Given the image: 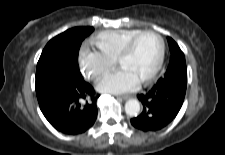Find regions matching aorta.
Returning a JSON list of instances; mask_svg holds the SVG:
<instances>
[{"mask_svg":"<svg viewBox=\"0 0 225 155\" xmlns=\"http://www.w3.org/2000/svg\"><path fill=\"white\" fill-rule=\"evenodd\" d=\"M125 112L130 117H136L140 113V103L136 99H130L125 104Z\"/></svg>","mask_w":225,"mask_h":155,"instance_id":"762f6f07","label":"aorta"}]
</instances>
